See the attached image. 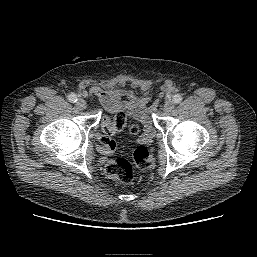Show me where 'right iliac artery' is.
Returning <instances> with one entry per match:
<instances>
[{
    "mask_svg": "<svg viewBox=\"0 0 257 257\" xmlns=\"http://www.w3.org/2000/svg\"><path fill=\"white\" fill-rule=\"evenodd\" d=\"M68 100H69L70 102H72V103L77 102V96H76V94L71 93V94L68 96Z\"/></svg>",
    "mask_w": 257,
    "mask_h": 257,
    "instance_id": "right-iliac-artery-1",
    "label": "right iliac artery"
}]
</instances>
